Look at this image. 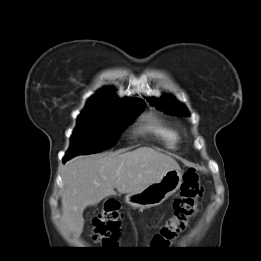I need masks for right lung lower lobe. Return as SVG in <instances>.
I'll list each match as a JSON object with an SVG mask.
<instances>
[{
  "mask_svg": "<svg viewBox=\"0 0 261 261\" xmlns=\"http://www.w3.org/2000/svg\"><path fill=\"white\" fill-rule=\"evenodd\" d=\"M70 158H72L71 156H65L64 158H63V162L65 163L68 159H70Z\"/></svg>",
  "mask_w": 261,
  "mask_h": 261,
  "instance_id": "obj_1",
  "label": "right lung lower lobe"
}]
</instances>
